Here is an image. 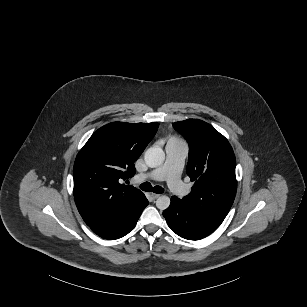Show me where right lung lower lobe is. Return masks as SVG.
Listing matches in <instances>:
<instances>
[{
	"instance_id": "1",
	"label": "right lung lower lobe",
	"mask_w": 307,
	"mask_h": 307,
	"mask_svg": "<svg viewBox=\"0 0 307 307\" xmlns=\"http://www.w3.org/2000/svg\"><path fill=\"white\" fill-rule=\"evenodd\" d=\"M148 203V200L143 194L117 215L89 227L94 233L105 239H118L123 237L135 227L143 209Z\"/></svg>"
}]
</instances>
